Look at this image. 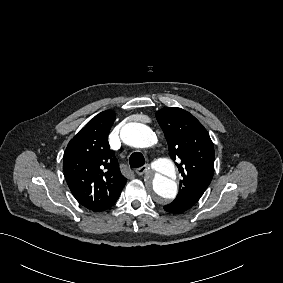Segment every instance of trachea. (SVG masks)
Returning a JSON list of instances; mask_svg holds the SVG:
<instances>
[{"instance_id":"3493384b","label":"trachea","mask_w":283,"mask_h":283,"mask_svg":"<svg viewBox=\"0 0 283 283\" xmlns=\"http://www.w3.org/2000/svg\"><path fill=\"white\" fill-rule=\"evenodd\" d=\"M129 164L132 168H138L145 164L144 156L140 152H133L129 158Z\"/></svg>"}]
</instances>
